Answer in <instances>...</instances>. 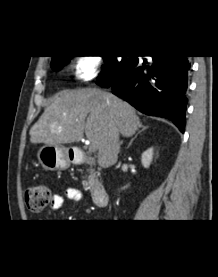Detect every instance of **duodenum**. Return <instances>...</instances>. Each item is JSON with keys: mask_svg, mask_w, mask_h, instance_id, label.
Returning <instances> with one entry per match:
<instances>
[{"mask_svg": "<svg viewBox=\"0 0 218 277\" xmlns=\"http://www.w3.org/2000/svg\"><path fill=\"white\" fill-rule=\"evenodd\" d=\"M69 158L71 161L76 162L78 164L89 163V159L83 152L71 151L69 154ZM91 194H92V200L96 206L98 207L107 206L108 192L101 183L94 184L92 186Z\"/></svg>", "mask_w": 218, "mask_h": 277, "instance_id": "1", "label": "duodenum"}]
</instances>
